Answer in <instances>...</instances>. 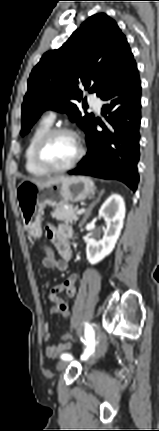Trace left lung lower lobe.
<instances>
[{
  "label": "left lung lower lobe",
  "mask_w": 159,
  "mask_h": 431,
  "mask_svg": "<svg viewBox=\"0 0 159 431\" xmlns=\"http://www.w3.org/2000/svg\"><path fill=\"white\" fill-rule=\"evenodd\" d=\"M101 99L106 102L102 107L106 123H99L103 130L97 131L93 121L86 131L88 152L68 174L117 179L135 191L141 122V83L135 61Z\"/></svg>",
  "instance_id": "0a47b994"
}]
</instances>
